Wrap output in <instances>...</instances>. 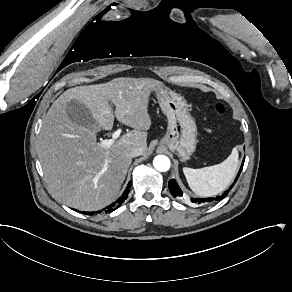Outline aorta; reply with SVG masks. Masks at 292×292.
Instances as JSON below:
<instances>
[{"instance_id":"762f6f07","label":"aorta","mask_w":292,"mask_h":292,"mask_svg":"<svg viewBox=\"0 0 292 292\" xmlns=\"http://www.w3.org/2000/svg\"><path fill=\"white\" fill-rule=\"evenodd\" d=\"M153 165L160 172L168 171L170 168V160L167 156L158 155L154 158Z\"/></svg>"}]
</instances>
